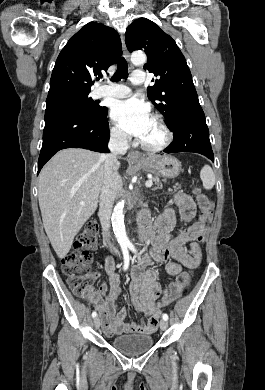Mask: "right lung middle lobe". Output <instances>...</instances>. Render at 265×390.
<instances>
[{"label":"right lung middle lobe","instance_id":"obj_1","mask_svg":"<svg viewBox=\"0 0 265 390\" xmlns=\"http://www.w3.org/2000/svg\"><path fill=\"white\" fill-rule=\"evenodd\" d=\"M88 94H71L46 100V111L75 110L93 118L103 116L107 108L99 106Z\"/></svg>","mask_w":265,"mask_h":390}]
</instances>
